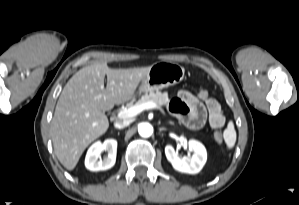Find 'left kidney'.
<instances>
[{"mask_svg": "<svg viewBox=\"0 0 299 205\" xmlns=\"http://www.w3.org/2000/svg\"><path fill=\"white\" fill-rule=\"evenodd\" d=\"M188 147L193 152L191 158H180L171 145L165 147V155L175 170L182 173L196 174L201 171L207 161V151L201 142L194 139L188 141Z\"/></svg>", "mask_w": 299, "mask_h": 205, "instance_id": "obj_1", "label": "left kidney"}]
</instances>
